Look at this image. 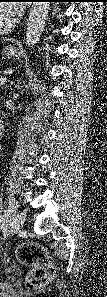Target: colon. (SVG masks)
Returning <instances> with one entry per match:
<instances>
[{
  "instance_id": "1",
  "label": "colon",
  "mask_w": 107,
  "mask_h": 297,
  "mask_svg": "<svg viewBox=\"0 0 107 297\" xmlns=\"http://www.w3.org/2000/svg\"><path fill=\"white\" fill-rule=\"evenodd\" d=\"M17 255L21 262L34 267L27 281L30 289L42 287L51 278L53 270L41 247L36 244H27L18 249Z\"/></svg>"
}]
</instances>
